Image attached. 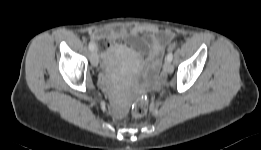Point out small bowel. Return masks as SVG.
I'll list each match as a JSON object with an SVG mask.
<instances>
[{"mask_svg": "<svg viewBox=\"0 0 261 150\" xmlns=\"http://www.w3.org/2000/svg\"><path fill=\"white\" fill-rule=\"evenodd\" d=\"M146 35L148 44H139L136 47V53L133 55V68L137 70L141 66V56L146 54V63L148 65L147 77L154 78L157 74L160 59L164 53L165 46L174 37L170 31H162L154 25H139L131 28H99L90 32V39L98 42L101 49H106L110 41L120 39H136L139 36Z\"/></svg>", "mask_w": 261, "mask_h": 150, "instance_id": "c3829d8e", "label": "small bowel"}]
</instances>
